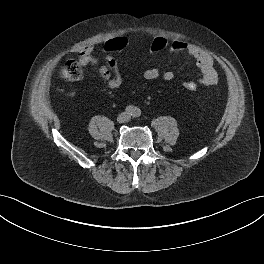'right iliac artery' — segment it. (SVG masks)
Here are the masks:
<instances>
[{"mask_svg": "<svg viewBox=\"0 0 264 264\" xmlns=\"http://www.w3.org/2000/svg\"><path fill=\"white\" fill-rule=\"evenodd\" d=\"M126 112L129 114H132L134 112V108L132 106H127L126 107Z\"/></svg>", "mask_w": 264, "mask_h": 264, "instance_id": "obj_1", "label": "right iliac artery"}]
</instances>
